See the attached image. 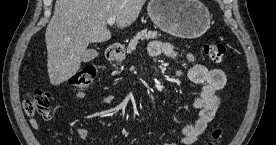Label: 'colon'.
I'll return each mask as SVG.
<instances>
[{
	"mask_svg": "<svg viewBox=\"0 0 276 145\" xmlns=\"http://www.w3.org/2000/svg\"><path fill=\"white\" fill-rule=\"evenodd\" d=\"M204 53L214 63L222 62L226 47L222 43H207L203 47ZM97 74L94 65H85L75 72L69 79V84L77 88L89 87ZM24 109L30 116L46 117L50 113V94L43 89H35L24 101ZM221 130L216 129L213 132V139L208 145H215L221 137Z\"/></svg>",
	"mask_w": 276,
	"mask_h": 145,
	"instance_id": "colon-1",
	"label": "colon"
}]
</instances>
